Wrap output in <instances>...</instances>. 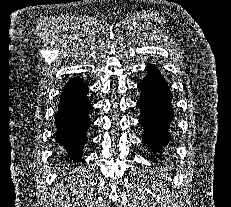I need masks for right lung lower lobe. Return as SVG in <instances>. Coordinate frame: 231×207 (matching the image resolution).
Masks as SVG:
<instances>
[{"label":"right lung lower lobe","mask_w":231,"mask_h":207,"mask_svg":"<svg viewBox=\"0 0 231 207\" xmlns=\"http://www.w3.org/2000/svg\"><path fill=\"white\" fill-rule=\"evenodd\" d=\"M87 92V86L80 78L71 79L64 87L55 116L56 139L76 162L81 160L90 125L88 112L92 106Z\"/></svg>","instance_id":"1"}]
</instances>
